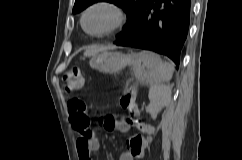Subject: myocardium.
<instances>
[{"label": "myocardium", "instance_id": "myocardium-1", "mask_svg": "<svg viewBox=\"0 0 242 160\" xmlns=\"http://www.w3.org/2000/svg\"><path fill=\"white\" fill-rule=\"evenodd\" d=\"M99 7H105V8L111 9L115 13V21L111 26H109L104 31L99 32V33H92L86 29L85 19H86L87 14L91 10H93L95 8H99ZM126 21H127L126 11L124 10V8L121 5H119L118 3H116L115 1H112V0H98V1L91 3L84 9V11L82 12V15H81V19H80V23H81V27H82L83 31L87 35L96 37V38L105 37V36H108L116 31L120 30L125 25Z\"/></svg>", "mask_w": 242, "mask_h": 160}]
</instances>
